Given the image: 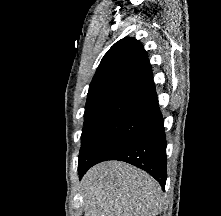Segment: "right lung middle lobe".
<instances>
[{
	"instance_id": "1",
	"label": "right lung middle lobe",
	"mask_w": 221,
	"mask_h": 216,
	"mask_svg": "<svg viewBox=\"0 0 221 216\" xmlns=\"http://www.w3.org/2000/svg\"><path fill=\"white\" fill-rule=\"evenodd\" d=\"M148 121L146 114L120 113L84 123L78 167L106 160L134 140Z\"/></svg>"
}]
</instances>
